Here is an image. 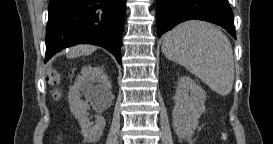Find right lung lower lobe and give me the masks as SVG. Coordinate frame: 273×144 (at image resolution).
Returning a JSON list of instances; mask_svg holds the SVG:
<instances>
[{"label": "right lung lower lobe", "instance_id": "98d812e1", "mask_svg": "<svg viewBox=\"0 0 273 144\" xmlns=\"http://www.w3.org/2000/svg\"><path fill=\"white\" fill-rule=\"evenodd\" d=\"M125 10L126 0H50L45 63L64 48L91 43L120 64Z\"/></svg>", "mask_w": 273, "mask_h": 144}]
</instances>
